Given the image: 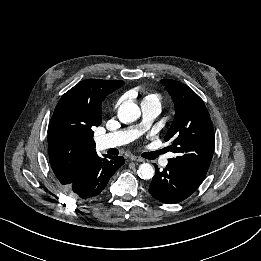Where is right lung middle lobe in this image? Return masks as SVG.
<instances>
[{
    "mask_svg": "<svg viewBox=\"0 0 261 261\" xmlns=\"http://www.w3.org/2000/svg\"><path fill=\"white\" fill-rule=\"evenodd\" d=\"M94 126H89V128H88V133L91 135V136H93V134H94V132L92 131V128H93Z\"/></svg>",
    "mask_w": 261,
    "mask_h": 261,
    "instance_id": "right-lung-middle-lobe-1",
    "label": "right lung middle lobe"
}]
</instances>
